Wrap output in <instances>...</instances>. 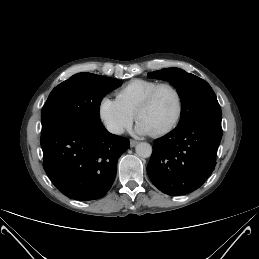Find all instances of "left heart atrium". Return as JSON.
Masks as SVG:
<instances>
[{"label":"left heart atrium","mask_w":259,"mask_h":259,"mask_svg":"<svg viewBox=\"0 0 259 259\" xmlns=\"http://www.w3.org/2000/svg\"><path fill=\"white\" fill-rule=\"evenodd\" d=\"M137 132L140 134H149L150 133L149 129L142 123H139V125L137 126Z\"/></svg>","instance_id":"1"}]
</instances>
